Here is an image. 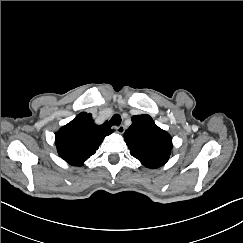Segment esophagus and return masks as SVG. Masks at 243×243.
Here are the masks:
<instances>
[{
	"label": "esophagus",
	"instance_id": "esophagus-1",
	"mask_svg": "<svg viewBox=\"0 0 243 243\" xmlns=\"http://www.w3.org/2000/svg\"><path fill=\"white\" fill-rule=\"evenodd\" d=\"M113 129L119 134H123L125 131V127L123 125L113 126Z\"/></svg>",
	"mask_w": 243,
	"mask_h": 243
}]
</instances>
